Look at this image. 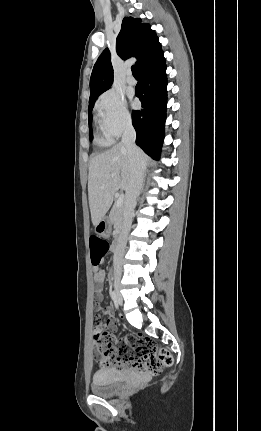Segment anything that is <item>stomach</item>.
I'll return each instance as SVG.
<instances>
[{
  "instance_id": "0dacf381",
  "label": "stomach",
  "mask_w": 261,
  "mask_h": 431,
  "mask_svg": "<svg viewBox=\"0 0 261 431\" xmlns=\"http://www.w3.org/2000/svg\"><path fill=\"white\" fill-rule=\"evenodd\" d=\"M95 232L103 237H108L111 233V222L108 218H103L95 225Z\"/></svg>"
}]
</instances>
